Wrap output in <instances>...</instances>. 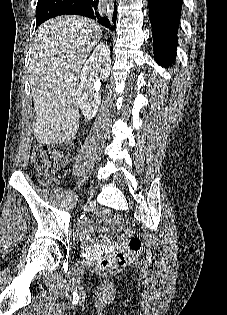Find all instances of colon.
Here are the masks:
<instances>
[{
  "label": "colon",
  "instance_id": "1",
  "mask_svg": "<svg viewBox=\"0 0 227 315\" xmlns=\"http://www.w3.org/2000/svg\"><path fill=\"white\" fill-rule=\"evenodd\" d=\"M80 141L77 138L54 144H37L33 150L32 161L38 170L39 179L45 181L50 174L57 172L66 165L79 151ZM112 223L117 231H124L123 220L119 216L112 217ZM128 237V249L102 259L97 265L101 272L126 265L135 258L141 250L142 241L130 231H125Z\"/></svg>",
  "mask_w": 227,
  "mask_h": 315
}]
</instances>
